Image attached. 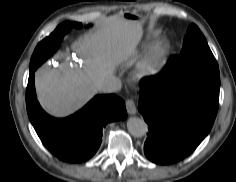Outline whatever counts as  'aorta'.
<instances>
[{
	"instance_id": "762f6f07",
	"label": "aorta",
	"mask_w": 236,
	"mask_h": 182,
	"mask_svg": "<svg viewBox=\"0 0 236 182\" xmlns=\"http://www.w3.org/2000/svg\"><path fill=\"white\" fill-rule=\"evenodd\" d=\"M129 133L137 138L143 137L148 132L147 123L138 117H130L127 121Z\"/></svg>"
}]
</instances>
